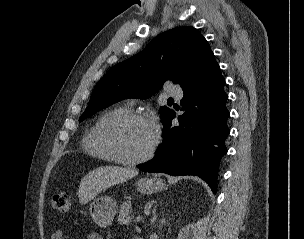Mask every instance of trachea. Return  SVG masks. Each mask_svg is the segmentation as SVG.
<instances>
[{"instance_id":"trachea-1","label":"trachea","mask_w":304,"mask_h":239,"mask_svg":"<svg viewBox=\"0 0 304 239\" xmlns=\"http://www.w3.org/2000/svg\"><path fill=\"white\" fill-rule=\"evenodd\" d=\"M168 101L173 102L174 100L172 98H169Z\"/></svg>"}]
</instances>
